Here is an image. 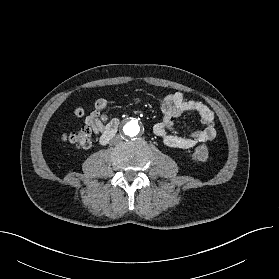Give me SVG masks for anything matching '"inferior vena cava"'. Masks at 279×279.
Instances as JSON below:
<instances>
[{"label": "inferior vena cava", "mask_w": 279, "mask_h": 279, "mask_svg": "<svg viewBox=\"0 0 279 279\" xmlns=\"http://www.w3.org/2000/svg\"><path fill=\"white\" fill-rule=\"evenodd\" d=\"M122 142V137L120 135H116L111 139V143L113 144H119Z\"/></svg>", "instance_id": "602c4592"}]
</instances>
